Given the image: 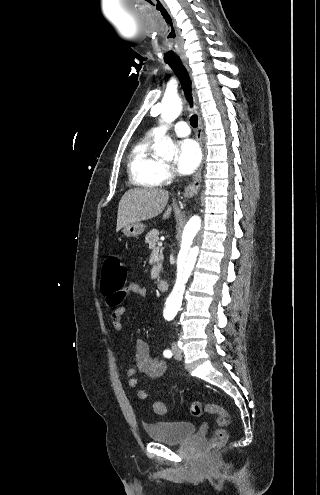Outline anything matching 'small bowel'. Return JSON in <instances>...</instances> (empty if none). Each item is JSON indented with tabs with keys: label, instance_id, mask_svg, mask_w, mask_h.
<instances>
[{
	"label": "small bowel",
	"instance_id": "c3829d8e",
	"mask_svg": "<svg viewBox=\"0 0 320 495\" xmlns=\"http://www.w3.org/2000/svg\"><path fill=\"white\" fill-rule=\"evenodd\" d=\"M130 294L145 297L147 288L137 283L130 282L120 291L105 294L106 305L111 310L113 326L119 333L122 330V318L127 311V306L123 305L122 302L124 298ZM134 346L136 366L127 369V376L129 377L128 385L130 388L137 390V394L140 398H144L146 391L138 388V380L134 377L136 373L140 372L151 379H157L165 374L167 365L160 357L151 355L150 347L145 340L135 338Z\"/></svg>",
	"mask_w": 320,
	"mask_h": 495
}]
</instances>
